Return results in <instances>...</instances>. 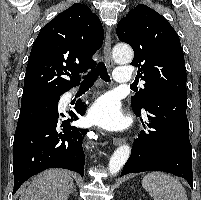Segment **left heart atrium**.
Segmentation results:
<instances>
[{
  "label": "left heart atrium",
  "mask_w": 201,
  "mask_h": 200,
  "mask_svg": "<svg viewBox=\"0 0 201 200\" xmlns=\"http://www.w3.org/2000/svg\"><path fill=\"white\" fill-rule=\"evenodd\" d=\"M90 120L108 130H120L127 125L118 103L108 96L100 98L93 105Z\"/></svg>",
  "instance_id": "left-heart-atrium-1"
}]
</instances>
